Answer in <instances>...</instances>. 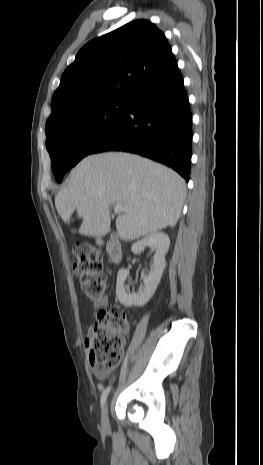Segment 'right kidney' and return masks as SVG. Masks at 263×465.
<instances>
[{
    "instance_id": "right-kidney-1",
    "label": "right kidney",
    "mask_w": 263,
    "mask_h": 465,
    "mask_svg": "<svg viewBox=\"0 0 263 465\" xmlns=\"http://www.w3.org/2000/svg\"><path fill=\"white\" fill-rule=\"evenodd\" d=\"M169 245V237L163 232L152 233L132 245L131 251L135 254L142 252L146 247L155 250L154 263L149 274L143 278L144 287L140 288L138 292L131 293L129 288L125 286L129 270L121 269L118 272L116 295L122 305L125 307L143 306L150 300L165 269V255L168 252Z\"/></svg>"
}]
</instances>
